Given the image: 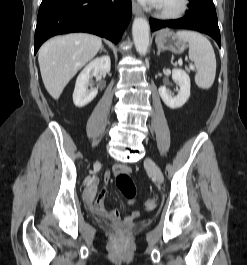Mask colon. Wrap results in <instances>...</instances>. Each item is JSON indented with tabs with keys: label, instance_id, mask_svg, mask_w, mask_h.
I'll use <instances>...</instances> for the list:
<instances>
[{
	"label": "colon",
	"instance_id": "obj_1",
	"mask_svg": "<svg viewBox=\"0 0 247 265\" xmlns=\"http://www.w3.org/2000/svg\"><path fill=\"white\" fill-rule=\"evenodd\" d=\"M116 186L119 191L123 194L127 199H134L137 194L136 186L132 180V178L126 173L118 174L116 178ZM157 206V200L155 198H150L145 201L144 209L146 211H152Z\"/></svg>",
	"mask_w": 247,
	"mask_h": 265
}]
</instances>
